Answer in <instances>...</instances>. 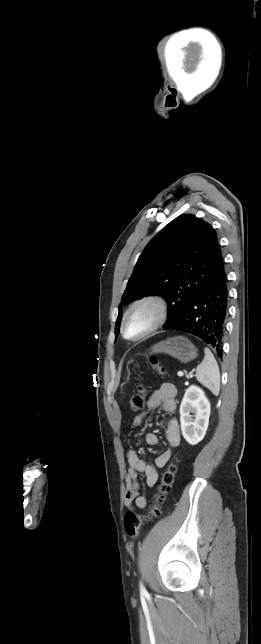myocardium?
Masks as SVG:
<instances>
[{
  "label": "myocardium",
  "instance_id": "obj_1",
  "mask_svg": "<svg viewBox=\"0 0 261 644\" xmlns=\"http://www.w3.org/2000/svg\"><path fill=\"white\" fill-rule=\"evenodd\" d=\"M148 305L153 308L155 312L152 324L141 334L135 337H129L126 333L127 322L130 314L139 306ZM169 314V307L167 300L160 294L148 293L136 298L124 312L121 322V334L124 339L137 342L150 336L158 330L166 322Z\"/></svg>",
  "mask_w": 261,
  "mask_h": 644
}]
</instances>
